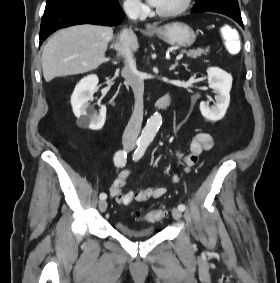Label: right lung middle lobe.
<instances>
[{
  "instance_id": "1",
  "label": "right lung middle lobe",
  "mask_w": 280,
  "mask_h": 283,
  "mask_svg": "<svg viewBox=\"0 0 280 283\" xmlns=\"http://www.w3.org/2000/svg\"><path fill=\"white\" fill-rule=\"evenodd\" d=\"M115 0H47L45 11L65 6H108Z\"/></svg>"
}]
</instances>
